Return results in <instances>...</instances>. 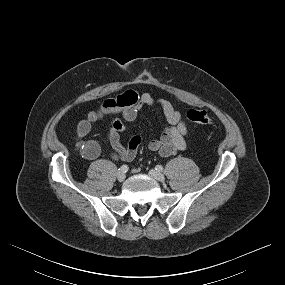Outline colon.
<instances>
[{
  "label": "colon",
  "instance_id": "1",
  "mask_svg": "<svg viewBox=\"0 0 285 285\" xmlns=\"http://www.w3.org/2000/svg\"><path fill=\"white\" fill-rule=\"evenodd\" d=\"M187 118L198 125H208L211 123V118L204 110L192 109L187 112Z\"/></svg>",
  "mask_w": 285,
  "mask_h": 285
}]
</instances>
